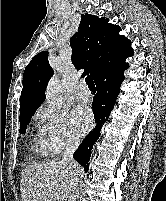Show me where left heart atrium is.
Returning a JSON list of instances; mask_svg holds the SVG:
<instances>
[{"instance_id": "left-heart-atrium-1", "label": "left heart atrium", "mask_w": 166, "mask_h": 201, "mask_svg": "<svg viewBox=\"0 0 166 201\" xmlns=\"http://www.w3.org/2000/svg\"><path fill=\"white\" fill-rule=\"evenodd\" d=\"M71 122L76 134L83 135L93 125V115L87 107L78 106L71 113Z\"/></svg>"}]
</instances>
